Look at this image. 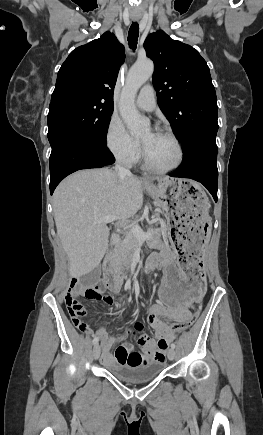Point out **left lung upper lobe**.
<instances>
[{
	"instance_id": "1",
	"label": "left lung upper lobe",
	"mask_w": 263,
	"mask_h": 435,
	"mask_svg": "<svg viewBox=\"0 0 263 435\" xmlns=\"http://www.w3.org/2000/svg\"><path fill=\"white\" fill-rule=\"evenodd\" d=\"M144 48L154 62L158 105L183 148L196 138L216 136V92L209 67L199 52L161 30L147 37Z\"/></svg>"
}]
</instances>
